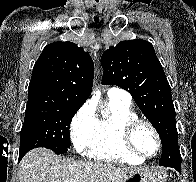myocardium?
Masks as SVG:
<instances>
[{"label": "myocardium", "instance_id": "myocardium-1", "mask_svg": "<svg viewBox=\"0 0 196 182\" xmlns=\"http://www.w3.org/2000/svg\"><path fill=\"white\" fill-rule=\"evenodd\" d=\"M141 126L148 127L154 134L156 141H157V149L156 152L152 155H146L139 151V149L135 146L134 143V135L137 129ZM122 142L125 149L133 154L134 156L141 158L143 160L155 158L161 151L162 148V140L161 136L157 130V128L148 120L136 118L133 120L128 121L122 129Z\"/></svg>", "mask_w": 196, "mask_h": 182}]
</instances>
